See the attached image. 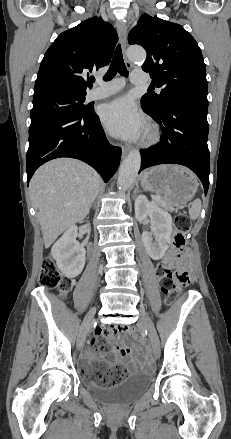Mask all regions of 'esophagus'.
Masks as SVG:
<instances>
[{"mask_svg":"<svg viewBox=\"0 0 231 439\" xmlns=\"http://www.w3.org/2000/svg\"><path fill=\"white\" fill-rule=\"evenodd\" d=\"M117 31L120 37V41L122 44V49L125 57V63L128 68H132V64L128 61L126 58V47H127V28L125 24L122 21L116 22ZM130 151L129 147L123 146L122 147V154L125 156Z\"/></svg>","mask_w":231,"mask_h":439,"instance_id":"1","label":"esophagus"}]
</instances>
